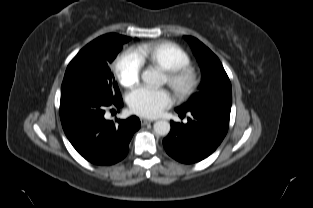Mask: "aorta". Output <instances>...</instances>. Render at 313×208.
<instances>
[{"label":"aorta","mask_w":313,"mask_h":208,"mask_svg":"<svg viewBox=\"0 0 313 208\" xmlns=\"http://www.w3.org/2000/svg\"><path fill=\"white\" fill-rule=\"evenodd\" d=\"M141 78L147 84H159L161 81L160 74L152 68H148L142 72ZM154 131L160 136H166L170 132V123L166 120H159L154 123Z\"/></svg>","instance_id":"obj_1"}]
</instances>
